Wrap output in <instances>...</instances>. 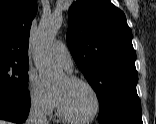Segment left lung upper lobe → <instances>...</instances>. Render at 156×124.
<instances>
[{
	"label": "left lung upper lobe",
	"instance_id": "obj_1",
	"mask_svg": "<svg viewBox=\"0 0 156 124\" xmlns=\"http://www.w3.org/2000/svg\"><path fill=\"white\" fill-rule=\"evenodd\" d=\"M66 40L99 100V116L141 118L132 31L124 13L109 0H84L69 9Z\"/></svg>",
	"mask_w": 156,
	"mask_h": 124
}]
</instances>
